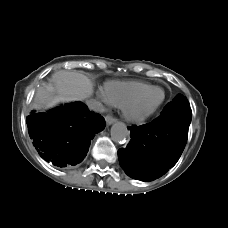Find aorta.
Masks as SVG:
<instances>
[{
    "instance_id": "762f6f07",
    "label": "aorta",
    "mask_w": 228,
    "mask_h": 228,
    "mask_svg": "<svg viewBox=\"0 0 228 228\" xmlns=\"http://www.w3.org/2000/svg\"><path fill=\"white\" fill-rule=\"evenodd\" d=\"M129 137V131L122 122H116L111 127V138L115 143L123 144Z\"/></svg>"
}]
</instances>
